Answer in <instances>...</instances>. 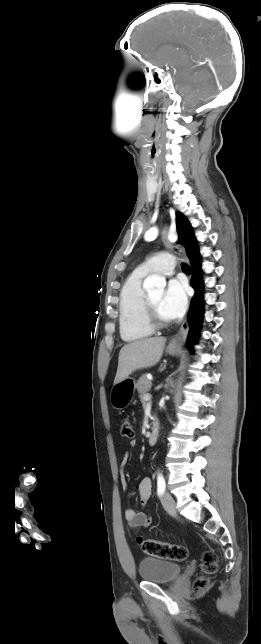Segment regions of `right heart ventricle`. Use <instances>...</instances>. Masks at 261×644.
<instances>
[{"mask_svg": "<svg viewBox=\"0 0 261 644\" xmlns=\"http://www.w3.org/2000/svg\"><path fill=\"white\" fill-rule=\"evenodd\" d=\"M147 273L135 270L125 280L119 299V332L126 342L149 337L154 329L145 315V295L142 282Z\"/></svg>", "mask_w": 261, "mask_h": 644, "instance_id": "e07e8e85", "label": "right heart ventricle"}]
</instances>
